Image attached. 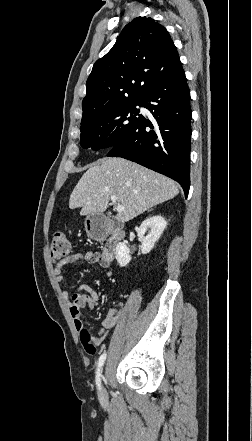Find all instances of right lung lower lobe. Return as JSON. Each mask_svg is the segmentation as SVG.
<instances>
[{"instance_id": "right-lung-lower-lobe-1", "label": "right lung lower lobe", "mask_w": 252, "mask_h": 441, "mask_svg": "<svg viewBox=\"0 0 252 441\" xmlns=\"http://www.w3.org/2000/svg\"><path fill=\"white\" fill-rule=\"evenodd\" d=\"M142 106L154 121L144 118L107 156L134 161L177 181L188 195L190 187V91L179 61L143 97ZM147 127L150 128L147 129Z\"/></svg>"}]
</instances>
